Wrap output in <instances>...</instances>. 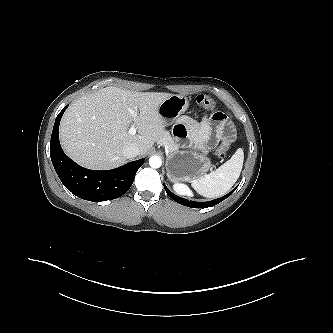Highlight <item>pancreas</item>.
I'll use <instances>...</instances> for the list:
<instances>
[{
  "label": "pancreas",
  "mask_w": 333,
  "mask_h": 333,
  "mask_svg": "<svg viewBox=\"0 0 333 333\" xmlns=\"http://www.w3.org/2000/svg\"><path fill=\"white\" fill-rule=\"evenodd\" d=\"M160 142L165 145V149L168 153H174L178 150V145L168 132L160 138Z\"/></svg>",
  "instance_id": "pancreas-1"
}]
</instances>
